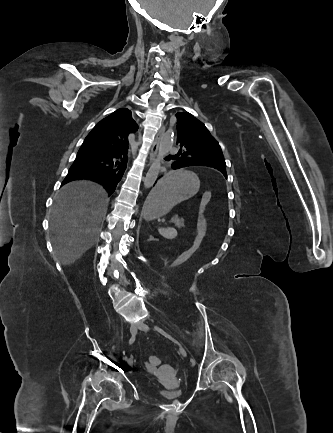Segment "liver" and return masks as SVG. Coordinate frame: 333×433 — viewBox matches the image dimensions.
Instances as JSON below:
<instances>
[{"mask_svg": "<svg viewBox=\"0 0 333 433\" xmlns=\"http://www.w3.org/2000/svg\"><path fill=\"white\" fill-rule=\"evenodd\" d=\"M108 203L106 190L88 180L70 182L56 194L50 230L54 253L61 264L76 262L94 246Z\"/></svg>", "mask_w": 333, "mask_h": 433, "instance_id": "obj_1", "label": "liver"}]
</instances>
